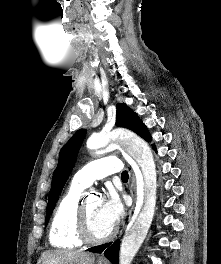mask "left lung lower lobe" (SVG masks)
Returning a JSON list of instances; mask_svg holds the SVG:
<instances>
[{
    "label": "left lung lower lobe",
    "instance_id": "obj_1",
    "mask_svg": "<svg viewBox=\"0 0 221 264\" xmlns=\"http://www.w3.org/2000/svg\"><path fill=\"white\" fill-rule=\"evenodd\" d=\"M153 149L156 151L155 146H153ZM119 248H120V241L117 240L114 243H107L100 246H96L93 248H90V252H100L102 250H105L104 255L109 259V261L112 264H118V254H119Z\"/></svg>",
    "mask_w": 221,
    "mask_h": 264
}]
</instances>
